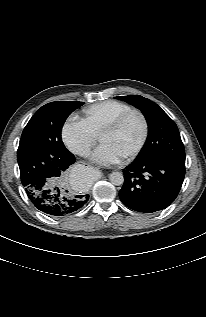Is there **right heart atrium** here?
<instances>
[{
    "label": "right heart atrium",
    "instance_id": "obj_1",
    "mask_svg": "<svg viewBox=\"0 0 206 317\" xmlns=\"http://www.w3.org/2000/svg\"><path fill=\"white\" fill-rule=\"evenodd\" d=\"M63 143L77 155H87L96 142V135L78 117H68L61 128Z\"/></svg>",
    "mask_w": 206,
    "mask_h": 317
}]
</instances>
